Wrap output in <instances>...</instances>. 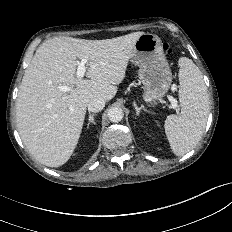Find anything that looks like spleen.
Here are the masks:
<instances>
[{
  "label": "spleen",
  "mask_w": 232,
  "mask_h": 232,
  "mask_svg": "<svg viewBox=\"0 0 232 232\" xmlns=\"http://www.w3.org/2000/svg\"><path fill=\"white\" fill-rule=\"evenodd\" d=\"M178 63L181 113L166 118L165 132L173 153L183 156L201 139L207 122L209 104L207 88L199 68L186 57H181Z\"/></svg>",
  "instance_id": "3e777b00"
}]
</instances>
